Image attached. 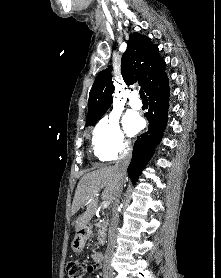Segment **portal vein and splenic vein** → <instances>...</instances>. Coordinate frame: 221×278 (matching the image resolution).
<instances>
[{
    "instance_id": "portal-vein-and-splenic-vein-1",
    "label": "portal vein and splenic vein",
    "mask_w": 221,
    "mask_h": 278,
    "mask_svg": "<svg viewBox=\"0 0 221 278\" xmlns=\"http://www.w3.org/2000/svg\"><path fill=\"white\" fill-rule=\"evenodd\" d=\"M109 205H110V202H109V201H103V202L101 203L102 208H107Z\"/></svg>"
}]
</instances>
